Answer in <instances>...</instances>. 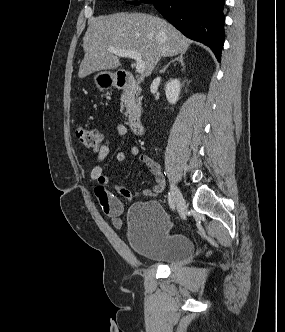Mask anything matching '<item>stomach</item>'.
Returning a JSON list of instances; mask_svg holds the SVG:
<instances>
[{"label":"stomach","instance_id":"1","mask_svg":"<svg viewBox=\"0 0 285 332\" xmlns=\"http://www.w3.org/2000/svg\"><path fill=\"white\" fill-rule=\"evenodd\" d=\"M94 83L99 89H109L117 86V73L102 71L94 76Z\"/></svg>","mask_w":285,"mask_h":332}]
</instances>
